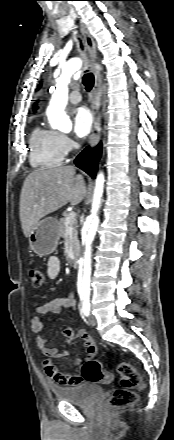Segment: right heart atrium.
I'll list each match as a JSON object with an SVG mask.
<instances>
[{
    "instance_id": "1",
    "label": "right heart atrium",
    "mask_w": 174,
    "mask_h": 440,
    "mask_svg": "<svg viewBox=\"0 0 174 440\" xmlns=\"http://www.w3.org/2000/svg\"><path fill=\"white\" fill-rule=\"evenodd\" d=\"M57 145L63 156H67L73 150V142L70 137L64 133H56Z\"/></svg>"
}]
</instances>
